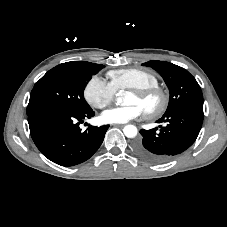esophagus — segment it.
Instances as JSON below:
<instances>
[{"label":"esophagus","instance_id":"esophagus-1","mask_svg":"<svg viewBox=\"0 0 227 227\" xmlns=\"http://www.w3.org/2000/svg\"><path fill=\"white\" fill-rule=\"evenodd\" d=\"M115 127H123L124 124H114Z\"/></svg>","mask_w":227,"mask_h":227}]
</instances>
